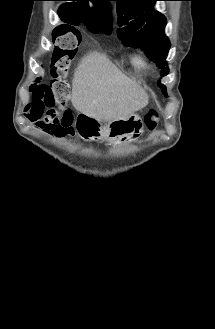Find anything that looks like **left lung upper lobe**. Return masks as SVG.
I'll return each mask as SVG.
<instances>
[{"label":"left lung upper lobe","mask_w":215,"mask_h":329,"mask_svg":"<svg viewBox=\"0 0 215 329\" xmlns=\"http://www.w3.org/2000/svg\"><path fill=\"white\" fill-rule=\"evenodd\" d=\"M118 35L125 45L140 47L148 57L156 62L161 69V75L169 72L165 60L170 49L169 39L164 34L166 18L160 12L152 9L158 0H116ZM165 96L166 87L159 83Z\"/></svg>","instance_id":"5c2ea615"}]
</instances>
